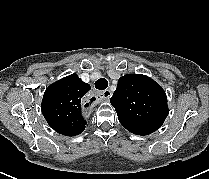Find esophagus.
<instances>
[{
	"instance_id": "34e87169",
	"label": "esophagus",
	"mask_w": 209,
	"mask_h": 179,
	"mask_svg": "<svg viewBox=\"0 0 209 179\" xmlns=\"http://www.w3.org/2000/svg\"><path fill=\"white\" fill-rule=\"evenodd\" d=\"M112 93L110 90H104L102 92H99L97 95L95 93H88L85 96V102L82 103L81 108L83 110L81 117L83 120L88 121L91 119L92 114L91 110L93 107H95L98 102H101L105 99H109L111 97Z\"/></svg>"
}]
</instances>
